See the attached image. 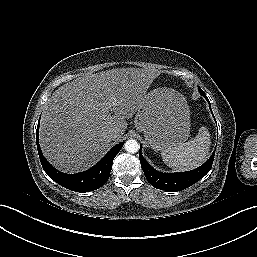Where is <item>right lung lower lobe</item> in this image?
Instances as JSON below:
<instances>
[{
	"instance_id": "obj_1",
	"label": "right lung lower lobe",
	"mask_w": 257,
	"mask_h": 257,
	"mask_svg": "<svg viewBox=\"0 0 257 257\" xmlns=\"http://www.w3.org/2000/svg\"><path fill=\"white\" fill-rule=\"evenodd\" d=\"M39 123L36 130V143L40 162L46 174L61 186L75 192H88L102 187L109 178L115 156L123 143L115 145L101 161L87 171L77 174H65L56 170L43 156L39 146Z\"/></svg>"
}]
</instances>
